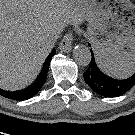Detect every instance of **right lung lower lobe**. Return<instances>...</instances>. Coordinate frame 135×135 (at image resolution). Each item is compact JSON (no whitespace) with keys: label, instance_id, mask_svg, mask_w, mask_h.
Here are the masks:
<instances>
[{"label":"right lung lower lobe","instance_id":"98d812e1","mask_svg":"<svg viewBox=\"0 0 135 135\" xmlns=\"http://www.w3.org/2000/svg\"><path fill=\"white\" fill-rule=\"evenodd\" d=\"M54 54H55V49H53L52 52L49 54L46 61L44 62V65L42 67L39 76L29 87L19 91H6L0 89V95L5 98H9L17 101L27 100L33 97L34 95H36L46 81L49 64Z\"/></svg>","mask_w":135,"mask_h":135}]
</instances>
